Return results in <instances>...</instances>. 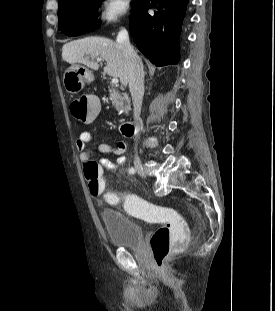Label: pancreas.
<instances>
[{"instance_id":"cf45deb5","label":"pancreas","mask_w":275,"mask_h":311,"mask_svg":"<svg viewBox=\"0 0 275 311\" xmlns=\"http://www.w3.org/2000/svg\"><path fill=\"white\" fill-rule=\"evenodd\" d=\"M110 101L116 110L121 114H128L130 110V100L125 93H119L114 86L109 90Z\"/></svg>"}]
</instances>
